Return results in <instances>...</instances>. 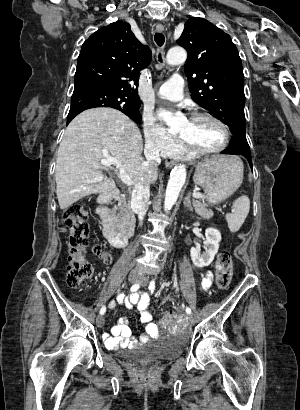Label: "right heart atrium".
I'll return each mask as SVG.
<instances>
[{"mask_svg":"<svg viewBox=\"0 0 300 410\" xmlns=\"http://www.w3.org/2000/svg\"><path fill=\"white\" fill-rule=\"evenodd\" d=\"M143 135L145 149L149 154L166 157L179 146V140L176 137L170 135L149 117L143 119Z\"/></svg>","mask_w":300,"mask_h":410,"instance_id":"1","label":"right heart atrium"}]
</instances>
